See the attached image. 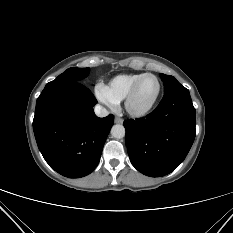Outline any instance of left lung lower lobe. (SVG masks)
I'll list each match as a JSON object with an SVG mask.
<instances>
[{
  "instance_id": "0a47b994",
  "label": "left lung lower lobe",
  "mask_w": 233,
  "mask_h": 233,
  "mask_svg": "<svg viewBox=\"0 0 233 233\" xmlns=\"http://www.w3.org/2000/svg\"><path fill=\"white\" fill-rule=\"evenodd\" d=\"M189 91L164 96L145 118L125 120V142L132 165L150 177L171 173L185 159L196 135Z\"/></svg>"
}]
</instances>
